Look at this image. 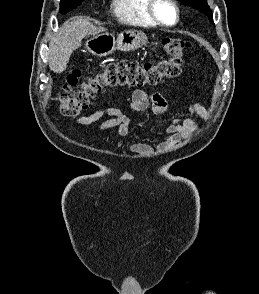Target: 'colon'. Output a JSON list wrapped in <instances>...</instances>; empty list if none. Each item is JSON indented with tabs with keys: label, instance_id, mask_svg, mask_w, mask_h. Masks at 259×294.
I'll list each match as a JSON object with an SVG mask.
<instances>
[{
	"label": "colon",
	"instance_id": "colon-1",
	"mask_svg": "<svg viewBox=\"0 0 259 294\" xmlns=\"http://www.w3.org/2000/svg\"><path fill=\"white\" fill-rule=\"evenodd\" d=\"M162 46L165 59L157 63L137 60L109 63L101 71L89 75L77 89L74 88L78 85L81 72H72L59 95L60 112L67 117L77 116L106 88L155 86L164 79L177 77L181 73L182 56L189 43L179 38H165Z\"/></svg>",
	"mask_w": 259,
	"mask_h": 294
}]
</instances>
